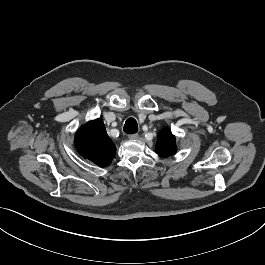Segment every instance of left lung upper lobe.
I'll return each mask as SVG.
<instances>
[{"instance_id": "left-lung-upper-lobe-1", "label": "left lung upper lobe", "mask_w": 265, "mask_h": 265, "mask_svg": "<svg viewBox=\"0 0 265 265\" xmlns=\"http://www.w3.org/2000/svg\"><path fill=\"white\" fill-rule=\"evenodd\" d=\"M177 150L175 136L167 129L158 134L156 152L160 157H167L175 154Z\"/></svg>"}]
</instances>
